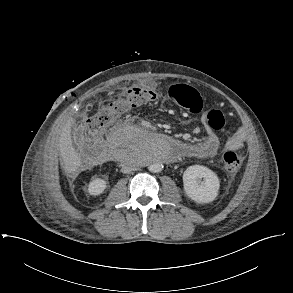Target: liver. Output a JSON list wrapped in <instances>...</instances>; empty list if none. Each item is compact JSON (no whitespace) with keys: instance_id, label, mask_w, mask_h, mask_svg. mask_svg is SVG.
Returning a JSON list of instances; mask_svg holds the SVG:
<instances>
[{"instance_id":"liver-1","label":"liver","mask_w":293,"mask_h":293,"mask_svg":"<svg viewBox=\"0 0 293 293\" xmlns=\"http://www.w3.org/2000/svg\"><path fill=\"white\" fill-rule=\"evenodd\" d=\"M75 123L69 119L62 127L59 138L60 157L62 159V168L66 174L75 173L81 166V157L72 145L71 127Z\"/></svg>"}]
</instances>
